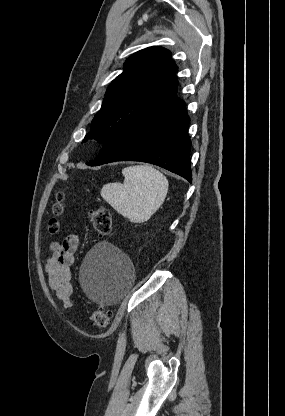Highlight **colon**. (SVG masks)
I'll use <instances>...</instances> for the list:
<instances>
[{
    "mask_svg": "<svg viewBox=\"0 0 285 416\" xmlns=\"http://www.w3.org/2000/svg\"><path fill=\"white\" fill-rule=\"evenodd\" d=\"M64 195L59 193L52 206V217L48 223V230L51 234H56L60 230V216L64 212ZM90 224L99 235H107L111 231L112 216L108 209L99 207L93 210L89 218ZM113 317V312L106 307H98L91 315V323L98 329L106 328Z\"/></svg>",
    "mask_w": 285,
    "mask_h": 416,
    "instance_id": "1",
    "label": "colon"
}]
</instances>
